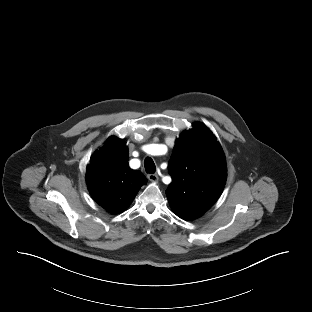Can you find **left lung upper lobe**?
<instances>
[{"label":"left lung upper lobe","instance_id":"obj_1","mask_svg":"<svg viewBox=\"0 0 312 312\" xmlns=\"http://www.w3.org/2000/svg\"><path fill=\"white\" fill-rule=\"evenodd\" d=\"M168 168L173 181L166 195L173 211L185 220L206 212L226 182L222 148L206 125L198 122L176 140Z\"/></svg>","mask_w":312,"mask_h":312}]
</instances>
